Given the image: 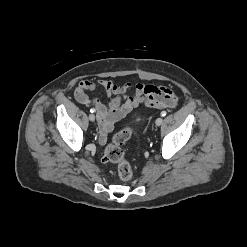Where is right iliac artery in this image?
Returning a JSON list of instances; mask_svg holds the SVG:
<instances>
[{
    "mask_svg": "<svg viewBox=\"0 0 247 247\" xmlns=\"http://www.w3.org/2000/svg\"><path fill=\"white\" fill-rule=\"evenodd\" d=\"M90 112H92V113H93V112H95V110H94V109H90Z\"/></svg>",
    "mask_w": 247,
    "mask_h": 247,
    "instance_id": "right-iliac-artery-1",
    "label": "right iliac artery"
}]
</instances>
